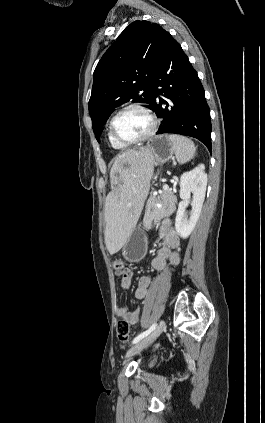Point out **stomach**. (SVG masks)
<instances>
[{
  "label": "stomach",
  "instance_id": "obj_1",
  "mask_svg": "<svg viewBox=\"0 0 265 423\" xmlns=\"http://www.w3.org/2000/svg\"><path fill=\"white\" fill-rule=\"evenodd\" d=\"M154 156V164L159 165L169 161L174 154L172 142L167 135L152 138L145 146ZM147 252V238L143 228L135 227L127 238L122 254L129 262H140Z\"/></svg>",
  "mask_w": 265,
  "mask_h": 423
}]
</instances>
